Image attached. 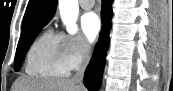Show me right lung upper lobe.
<instances>
[{
    "mask_svg": "<svg viewBox=\"0 0 173 91\" xmlns=\"http://www.w3.org/2000/svg\"><path fill=\"white\" fill-rule=\"evenodd\" d=\"M57 8V0H30L24 15L22 32L46 25Z\"/></svg>",
    "mask_w": 173,
    "mask_h": 91,
    "instance_id": "right-lung-upper-lobe-1",
    "label": "right lung upper lobe"
}]
</instances>
